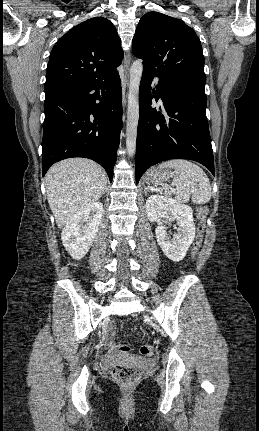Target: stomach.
<instances>
[{"label":"stomach","mask_w":259,"mask_h":431,"mask_svg":"<svg viewBox=\"0 0 259 431\" xmlns=\"http://www.w3.org/2000/svg\"><path fill=\"white\" fill-rule=\"evenodd\" d=\"M171 176L169 169L163 167H154L145 175V182L148 184H157L168 180Z\"/></svg>","instance_id":"1"}]
</instances>
